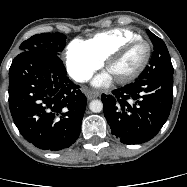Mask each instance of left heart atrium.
Here are the masks:
<instances>
[{"instance_id":"obj_1","label":"left heart atrium","mask_w":187,"mask_h":187,"mask_svg":"<svg viewBox=\"0 0 187 187\" xmlns=\"http://www.w3.org/2000/svg\"><path fill=\"white\" fill-rule=\"evenodd\" d=\"M113 76L111 75V73L109 71L103 72L102 74L98 75L93 83L96 86H107L110 84V82L112 81Z\"/></svg>"}]
</instances>
